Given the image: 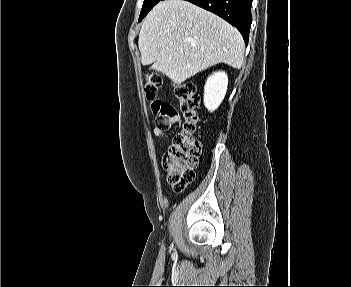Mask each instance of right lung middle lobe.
<instances>
[{
    "mask_svg": "<svg viewBox=\"0 0 351 287\" xmlns=\"http://www.w3.org/2000/svg\"><path fill=\"white\" fill-rule=\"evenodd\" d=\"M161 0H144L142 10L139 17V22L149 13V11Z\"/></svg>",
    "mask_w": 351,
    "mask_h": 287,
    "instance_id": "dd1d6c3e",
    "label": "right lung middle lobe"
}]
</instances>
